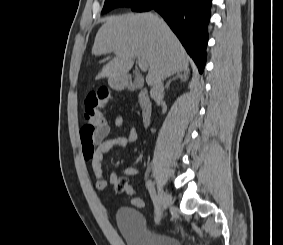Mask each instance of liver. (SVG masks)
Here are the masks:
<instances>
[{
    "label": "liver",
    "mask_w": 283,
    "mask_h": 245,
    "mask_svg": "<svg viewBox=\"0 0 283 245\" xmlns=\"http://www.w3.org/2000/svg\"><path fill=\"white\" fill-rule=\"evenodd\" d=\"M111 52L116 57L102 67L96 79L126 77L135 58L147 63L149 86L159 76L165 78L189 71L183 46L164 21L152 13L108 17L96 34L92 54L101 56Z\"/></svg>",
    "instance_id": "liver-1"
}]
</instances>
